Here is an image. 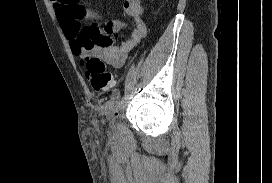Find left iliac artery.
Segmentation results:
<instances>
[{
	"instance_id": "left-iliac-artery-1",
	"label": "left iliac artery",
	"mask_w": 272,
	"mask_h": 183,
	"mask_svg": "<svg viewBox=\"0 0 272 183\" xmlns=\"http://www.w3.org/2000/svg\"><path fill=\"white\" fill-rule=\"evenodd\" d=\"M119 97H120V91H119V90H115V91L113 92L112 98H113V99H117V98H119Z\"/></svg>"
}]
</instances>
